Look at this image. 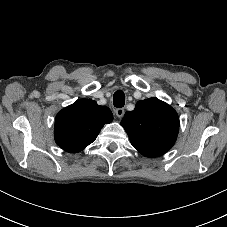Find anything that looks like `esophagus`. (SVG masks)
Here are the masks:
<instances>
[{
  "label": "esophagus",
  "mask_w": 227,
  "mask_h": 227,
  "mask_svg": "<svg viewBox=\"0 0 227 227\" xmlns=\"http://www.w3.org/2000/svg\"><path fill=\"white\" fill-rule=\"evenodd\" d=\"M115 114L117 117L121 118L124 115V109L123 108L115 109Z\"/></svg>",
  "instance_id": "34e87169"
}]
</instances>
